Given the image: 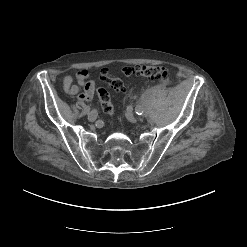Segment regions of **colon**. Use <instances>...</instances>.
I'll list each match as a JSON object with an SVG mask.
<instances>
[{"mask_svg": "<svg viewBox=\"0 0 247 247\" xmlns=\"http://www.w3.org/2000/svg\"><path fill=\"white\" fill-rule=\"evenodd\" d=\"M123 72L128 76H141L150 81L166 83L170 79L169 70L164 66L138 65L127 66ZM102 79L115 91L125 92L126 86L122 79L112 76L110 71L105 68L101 73ZM98 98L103 111L109 115H114V108L110 100V95L105 89L98 90Z\"/></svg>", "mask_w": 247, "mask_h": 247, "instance_id": "obj_1", "label": "colon"}]
</instances>
